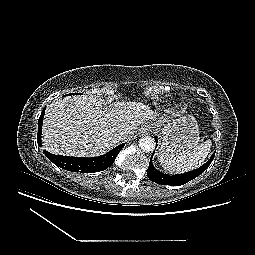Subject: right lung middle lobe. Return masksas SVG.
Segmentation results:
<instances>
[{
    "mask_svg": "<svg viewBox=\"0 0 255 255\" xmlns=\"http://www.w3.org/2000/svg\"><path fill=\"white\" fill-rule=\"evenodd\" d=\"M68 95H79V93H70Z\"/></svg>",
    "mask_w": 255,
    "mask_h": 255,
    "instance_id": "dd1d6c3e",
    "label": "right lung middle lobe"
}]
</instances>
